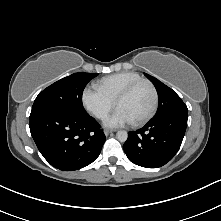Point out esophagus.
I'll return each instance as SVG.
<instances>
[{
  "label": "esophagus",
  "mask_w": 221,
  "mask_h": 221,
  "mask_svg": "<svg viewBox=\"0 0 221 221\" xmlns=\"http://www.w3.org/2000/svg\"><path fill=\"white\" fill-rule=\"evenodd\" d=\"M114 132V130H110V129H105L104 130V134L107 136V135H109V134H111V133H113Z\"/></svg>",
  "instance_id": "34e87169"
}]
</instances>
